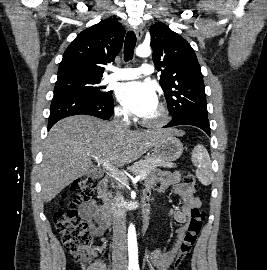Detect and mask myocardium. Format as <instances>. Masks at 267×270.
Masks as SVG:
<instances>
[{
    "label": "myocardium",
    "mask_w": 267,
    "mask_h": 270,
    "mask_svg": "<svg viewBox=\"0 0 267 270\" xmlns=\"http://www.w3.org/2000/svg\"><path fill=\"white\" fill-rule=\"evenodd\" d=\"M158 114L155 118L148 119L144 118L142 120V124L144 126L150 128H160L166 125L170 120V113L167 105L165 103H159L158 106Z\"/></svg>",
    "instance_id": "obj_1"
}]
</instances>
